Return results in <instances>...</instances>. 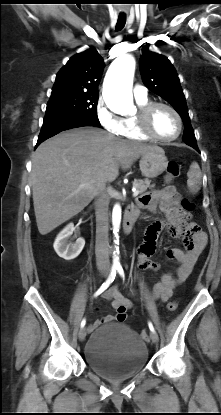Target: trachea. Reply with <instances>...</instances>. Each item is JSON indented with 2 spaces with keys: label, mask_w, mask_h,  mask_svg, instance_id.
Returning a JSON list of instances; mask_svg holds the SVG:
<instances>
[{
  "label": "trachea",
  "mask_w": 221,
  "mask_h": 415,
  "mask_svg": "<svg viewBox=\"0 0 221 415\" xmlns=\"http://www.w3.org/2000/svg\"><path fill=\"white\" fill-rule=\"evenodd\" d=\"M126 23V16L125 15H119L117 24H116V30L120 31L124 28Z\"/></svg>",
  "instance_id": "1"
}]
</instances>
